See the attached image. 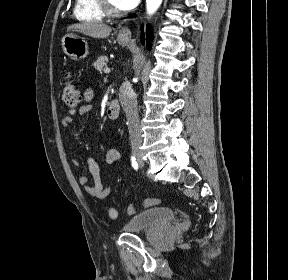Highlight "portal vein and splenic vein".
I'll return each instance as SVG.
<instances>
[{
  "label": "portal vein and splenic vein",
  "mask_w": 288,
  "mask_h": 280,
  "mask_svg": "<svg viewBox=\"0 0 288 280\" xmlns=\"http://www.w3.org/2000/svg\"><path fill=\"white\" fill-rule=\"evenodd\" d=\"M104 72H105V73H109V72H110V69H109L108 67H106V68L104 69Z\"/></svg>",
  "instance_id": "portal-vein-and-splenic-vein-1"
}]
</instances>
